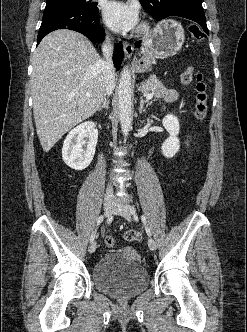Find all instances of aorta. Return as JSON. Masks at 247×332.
<instances>
[{
	"mask_svg": "<svg viewBox=\"0 0 247 332\" xmlns=\"http://www.w3.org/2000/svg\"><path fill=\"white\" fill-rule=\"evenodd\" d=\"M131 72L125 66L121 72L118 89L119 120L124 137L129 134L132 123Z\"/></svg>",
	"mask_w": 247,
	"mask_h": 332,
	"instance_id": "1",
	"label": "aorta"
}]
</instances>
